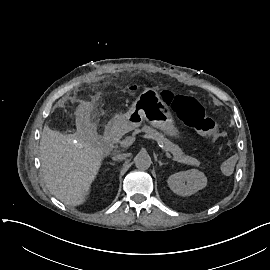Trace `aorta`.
I'll use <instances>...</instances> for the list:
<instances>
[{
	"label": "aorta",
	"instance_id": "obj_1",
	"mask_svg": "<svg viewBox=\"0 0 270 270\" xmlns=\"http://www.w3.org/2000/svg\"><path fill=\"white\" fill-rule=\"evenodd\" d=\"M135 166L141 170H147L152 163L150 156L145 152H140L134 158Z\"/></svg>",
	"mask_w": 270,
	"mask_h": 270
}]
</instances>
